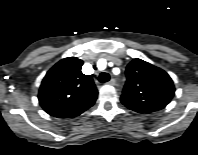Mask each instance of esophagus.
<instances>
[{
	"mask_svg": "<svg viewBox=\"0 0 198 155\" xmlns=\"http://www.w3.org/2000/svg\"><path fill=\"white\" fill-rule=\"evenodd\" d=\"M108 84H110V85H115V84H116L115 79H111V80L108 82Z\"/></svg>",
	"mask_w": 198,
	"mask_h": 155,
	"instance_id": "obj_1",
	"label": "esophagus"
}]
</instances>
